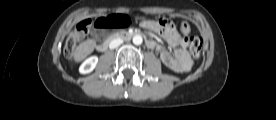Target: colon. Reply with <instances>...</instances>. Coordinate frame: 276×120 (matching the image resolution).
Returning a JSON list of instances; mask_svg holds the SVG:
<instances>
[{"instance_id":"colon-1","label":"colon","mask_w":276,"mask_h":120,"mask_svg":"<svg viewBox=\"0 0 276 120\" xmlns=\"http://www.w3.org/2000/svg\"><path fill=\"white\" fill-rule=\"evenodd\" d=\"M161 27H168L172 25V22L168 19L158 20ZM141 24V19L138 16L128 17L121 16L120 14H114L112 17L100 18L95 21L94 26L102 34L104 30L110 28H135ZM92 21L85 19L79 22L72 33L68 36L64 52L67 57H72L75 48L77 47L81 37L88 31ZM190 25L186 21H182L179 25L180 33L187 37L189 42V50L194 58H199L203 48V41L200 37H189Z\"/></svg>"}]
</instances>
